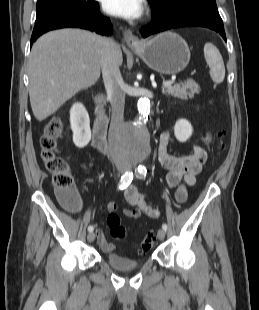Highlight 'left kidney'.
<instances>
[{"label":"left kidney","mask_w":259,"mask_h":310,"mask_svg":"<svg viewBox=\"0 0 259 310\" xmlns=\"http://www.w3.org/2000/svg\"><path fill=\"white\" fill-rule=\"evenodd\" d=\"M191 123L185 119H180L175 123L174 135L179 142H186L192 135Z\"/></svg>","instance_id":"1"}]
</instances>
